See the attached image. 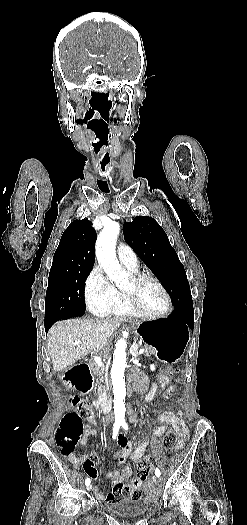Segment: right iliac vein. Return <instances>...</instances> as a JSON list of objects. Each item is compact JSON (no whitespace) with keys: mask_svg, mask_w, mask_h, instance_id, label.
Wrapping results in <instances>:
<instances>
[{"mask_svg":"<svg viewBox=\"0 0 247 525\" xmlns=\"http://www.w3.org/2000/svg\"><path fill=\"white\" fill-rule=\"evenodd\" d=\"M91 489H92V485L89 484V485L87 486V490H88V491H91Z\"/></svg>","mask_w":247,"mask_h":525,"instance_id":"63e3f726","label":"right iliac vein"}]
</instances>
